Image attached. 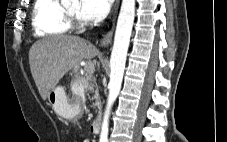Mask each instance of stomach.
I'll return each mask as SVG.
<instances>
[{"label":"stomach","mask_w":227,"mask_h":142,"mask_svg":"<svg viewBox=\"0 0 227 142\" xmlns=\"http://www.w3.org/2000/svg\"><path fill=\"white\" fill-rule=\"evenodd\" d=\"M47 98L55 112L65 119H74L81 111V105L72 103L62 86L50 91Z\"/></svg>","instance_id":"0dacf381"}]
</instances>
